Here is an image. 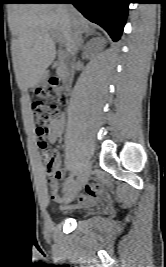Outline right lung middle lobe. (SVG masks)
I'll return each mask as SVG.
<instances>
[{"label":"right lung middle lobe","instance_id":"obj_1","mask_svg":"<svg viewBox=\"0 0 166 267\" xmlns=\"http://www.w3.org/2000/svg\"><path fill=\"white\" fill-rule=\"evenodd\" d=\"M18 2H22L23 0H17Z\"/></svg>","mask_w":166,"mask_h":267}]
</instances>
